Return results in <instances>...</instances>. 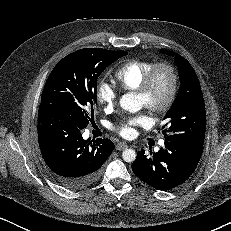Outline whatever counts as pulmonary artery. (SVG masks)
<instances>
[{"label":"pulmonary artery","mask_w":231,"mask_h":231,"mask_svg":"<svg viewBox=\"0 0 231 231\" xmlns=\"http://www.w3.org/2000/svg\"><path fill=\"white\" fill-rule=\"evenodd\" d=\"M160 144H161V145L164 144V141H160Z\"/></svg>","instance_id":"pulmonary-artery-1"}]
</instances>
